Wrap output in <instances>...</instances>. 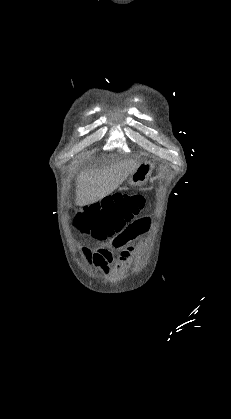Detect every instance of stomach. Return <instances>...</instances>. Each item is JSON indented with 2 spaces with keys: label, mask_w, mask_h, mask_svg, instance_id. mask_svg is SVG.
<instances>
[{
  "label": "stomach",
  "mask_w": 231,
  "mask_h": 419,
  "mask_svg": "<svg viewBox=\"0 0 231 419\" xmlns=\"http://www.w3.org/2000/svg\"><path fill=\"white\" fill-rule=\"evenodd\" d=\"M152 172V165L149 162H142L131 173L128 184L131 186H142L149 179Z\"/></svg>",
  "instance_id": "obj_1"
}]
</instances>
